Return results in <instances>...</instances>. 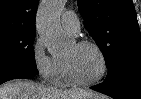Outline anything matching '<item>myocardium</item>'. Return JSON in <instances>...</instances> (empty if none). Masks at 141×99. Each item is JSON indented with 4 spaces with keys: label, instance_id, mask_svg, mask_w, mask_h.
<instances>
[{
    "label": "myocardium",
    "instance_id": "f54148a6",
    "mask_svg": "<svg viewBox=\"0 0 141 99\" xmlns=\"http://www.w3.org/2000/svg\"><path fill=\"white\" fill-rule=\"evenodd\" d=\"M76 46L93 48L98 53V55L101 59L102 71H101L100 75L93 80H90V81L81 80L76 75L71 62L69 60L65 59L69 78L71 79L73 84L78 85V86L90 87V86H94V85L98 84L99 82H101L105 78L107 71H108V62H107V58H106L104 51L102 50V48L98 44H96L95 42L90 41V40L78 41L76 43Z\"/></svg>",
    "mask_w": 141,
    "mask_h": 99
}]
</instances>
